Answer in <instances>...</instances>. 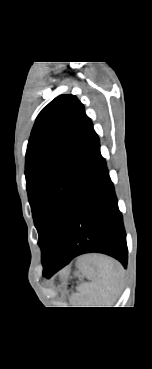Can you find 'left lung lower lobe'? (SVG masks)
<instances>
[{
  "label": "left lung lower lobe",
  "mask_w": 152,
  "mask_h": 369,
  "mask_svg": "<svg viewBox=\"0 0 152 369\" xmlns=\"http://www.w3.org/2000/svg\"><path fill=\"white\" fill-rule=\"evenodd\" d=\"M88 252L110 255L127 267L123 218L98 136L88 155L60 249L52 261L42 262L43 276L51 277L74 257Z\"/></svg>",
  "instance_id": "obj_1"
}]
</instances>
